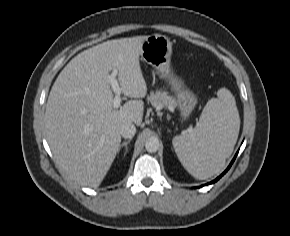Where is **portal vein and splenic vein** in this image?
Listing matches in <instances>:
<instances>
[{
    "label": "portal vein and splenic vein",
    "instance_id": "18ae733b",
    "mask_svg": "<svg viewBox=\"0 0 290 236\" xmlns=\"http://www.w3.org/2000/svg\"><path fill=\"white\" fill-rule=\"evenodd\" d=\"M117 71L114 70L108 77L109 83L111 85V88L113 92L115 93V97L113 99V107L118 108L121 103V87L116 79Z\"/></svg>",
    "mask_w": 290,
    "mask_h": 236
}]
</instances>
